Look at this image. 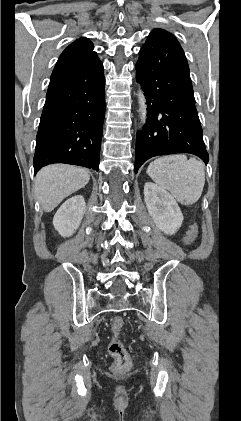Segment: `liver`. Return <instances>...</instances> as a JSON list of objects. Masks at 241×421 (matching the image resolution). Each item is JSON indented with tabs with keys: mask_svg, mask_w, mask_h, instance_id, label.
<instances>
[{
	"mask_svg": "<svg viewBox=\"0 0 241 421\" xmlns=\"http://www.w3.org/2000/svg\"><path fill=\"white\" fill-rule=\"evenodd\" d=\"M90 180L87 169L66 164L42 168L36 175L34 194L41 207L51 212L62 200L83 188Z\"/></svg>",
	"mask_w": 241,
	"mask_h": 421,
	"instance_id": "liver-1",
	"label": "liver"
}]
</instances>
